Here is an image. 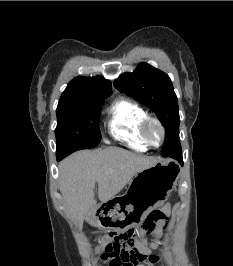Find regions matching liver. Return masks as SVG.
Listing matches in <instances>:
<instances>
[{
  "mask_svg": "<svg viewBox=\"0 0 233 266\" xmlns=\"http://www.w3.org/2000/svg\"><path fill=\"white\" fill-rule=\"evenodd\" d=\"M160 159L118 147L78 151L59 164V187L68 216L77 226L84 220L96 225L93 218L94 189L105 203L117 195L140 171Z\"/></svg>",
  "mask_w": 233,
  "mask_h": 266,
  "instance_id": "6515ba94",
  "label": "liver"
}]
</instances>
